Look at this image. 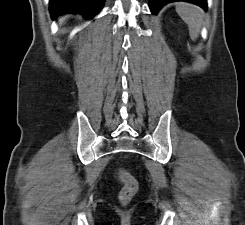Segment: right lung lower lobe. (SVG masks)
I'll return each instance as SVG.
<instances>
[{
	"label": "right lung lower lobe",
	"instance_id": "98d812e1",
	"mask_svg": "<svg viewBox=\"0 0 245 225\" xmlns=\"http://www.w3.org/2000/svg\"><path fill=\"white\" fill-rule=\"evenodd\" d=\"M105 0H50V13L53 18L64 13H80L92 18L102 8Z\"/></svg>",
	"mask_w": 245,
	"mask_h": 225
}]
</instances>
